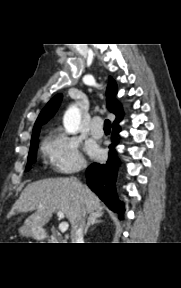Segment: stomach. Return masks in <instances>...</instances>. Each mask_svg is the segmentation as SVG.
<instances>
[{
	"label": "stomach",
	"mask_w": 181,
	"mask_h": 288,
	"mask_svg": "<svg viewBox=\"0 0 181 288\" xmlns=\"http://www.w3.org/2000/svg\"><path fill=\"white\" fill-rule=\"evenodd\" d=\"M19 232L24 237H34L37 239L42 238V232L41 231L35 230V229L27 227V226L21 227L19 229Z\"/></svg>",
	"instance_id": "0dacf381"
}]
</instances>
